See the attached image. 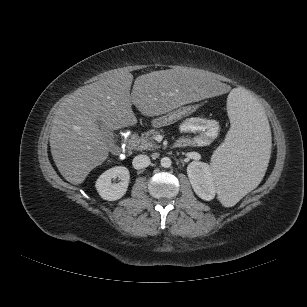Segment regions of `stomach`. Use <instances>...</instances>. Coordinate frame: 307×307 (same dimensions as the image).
<instances>
[{
  "instance_id": "0dacf381",
  "label": "stomach",
  "mask_w": 307,
  "mask_h": 307,
  "mask_svg": "<svg viewBox=\"0 0 307 307\" xmlns=\"http://www.w3.org/2000/svg\"><path fill=\"white\" fill-rule=\"evenodd\" d=\"M194 107L188 106V107H181L178 110H175L173 112H170L166 115L159 116L152 120V126L154 128H160L164 126H168L170 124H173L177 122L178 120L182 119L183 117L187 116L191 112H193Z\"/></svg>"
}]
</instances>
